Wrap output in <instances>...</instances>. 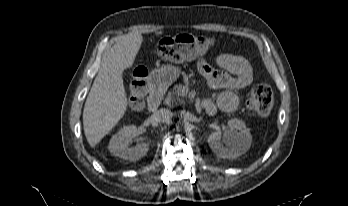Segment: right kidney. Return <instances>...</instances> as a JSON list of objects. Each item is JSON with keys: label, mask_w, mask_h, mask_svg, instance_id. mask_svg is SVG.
<instances>
[{"label": "right kidney", "mask_w": 348, "mask_h": 206, "mask_svg": "<svg viewBox=\"0 0 348 206\" xmlns=\"http://www.w3.org/2000/svg\"><path fill=\"white\" fill-rule=\"evenodd\" d=\"M138 129L135 125L124 126L109 142V150L115 156L125 160L136 161L145 156L149 150L147 143H138L129 147L128 139L136 137Z\"/></svg>", "instance_id": "obj_1"}]
</instances>
